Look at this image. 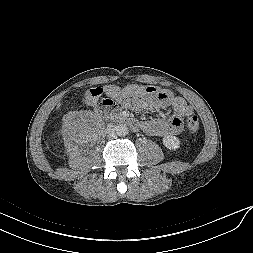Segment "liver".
<instances>
[{
  "label": "liver",
  "instance_id": "liver-1",
  "mask_svg": "<svg viewBox=\"0 0 253 253\" xmlns=\"http://www.w3.org/2000/svg\"><path fill=\"white\" fill-rule=\"evenodd\" d=\"M61 106V104L59 103L58 105H57V108H59Z\"/></svg>",
  "mask_w": 253,
  "mask_h": 253
}]
</instances>
